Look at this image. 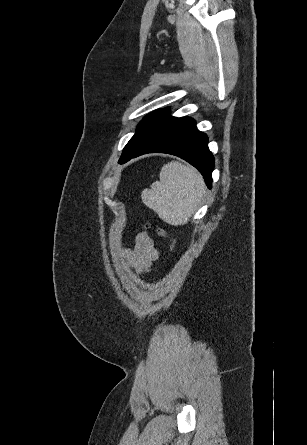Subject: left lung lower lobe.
Segmentation results:
<instances>
[{"instance_id": "1", "label": "left lung lower lobe", "mask_w": 307, "mask_h": 445, "mask_svg": "<svg viewBox=\"0 0 307 445\" xmlns=\"http://www.w3.org/2000/svg\"><path fill=\"white\" fill-rule=\"evenodd\" d=\"M207 136L198 131L192 118L176 119L147 139L125 162L146 153H168L179 156L196 167L211 188L214 158L208 149ZM124 162V163H125Z\"/></svg>"}]
</instances>
